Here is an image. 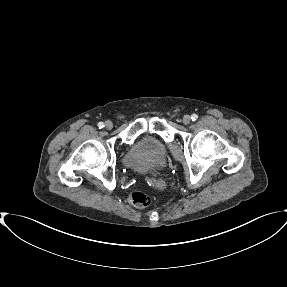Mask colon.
Returning <instances> with one entry per match:
<instances>
[{
	"mask_svg": "<svg viewBox=\"0 0 287 287\" xmlns=\"http://www.w3.org/2000/svg\"><path fill=\"white\" fill-rule=\"evenodd\" d=\"M128 202L135 208L142 209L150 204V198L141 191H132L128 195Z\"/></svg>",
	"mask_w": 287,
	"mask_h": 287,
	"instance_id": "1",
	"label": "colon"
}]
</instances>
